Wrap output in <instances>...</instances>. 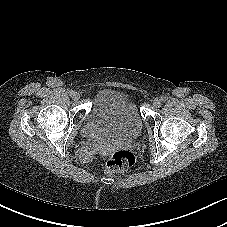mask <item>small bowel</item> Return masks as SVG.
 Instances as JSON below:
<instances>
[{
    "label": "small bowel",
    "mask_w": 227,
    "mask_h": 227,
    "mask_svg": "<svg viewBox=\"0 0 227 227\" xmlns=\"http://www.w3.org/2000/svg\"><path fill=\"white\" fill-rule=\"evenodd\" d=\"M97 129L95 125L89 120L86 126L82 129V134L87 137L94 138L96 136Z\"/></svg>",
    "instance_id": "1"
}]
</instances>
